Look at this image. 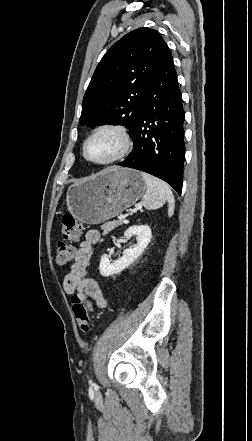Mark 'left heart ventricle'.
<instances>
[{"mask_svg": "<svg viewBox=\"0 0 252 441\" xmlns=\"http://www.w3.org/2000/svg\"><path fill=\"white\" fill-rule=\"evenodd\" d=\"M120 148V141L112 133H101L87 145V155L93 160H105L113 156Z\"/></svg>", "mask_w": 252, "mask_h": 441, "instance_id": "left-heart-ventricle-1", "label": "left heart ventricle"}]
</instances>
